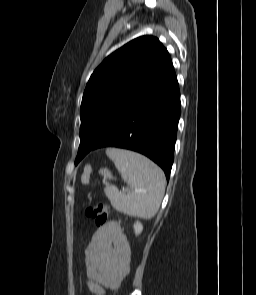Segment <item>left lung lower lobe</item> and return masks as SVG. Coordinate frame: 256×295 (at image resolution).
<instances>
[{"mask_svg": "<svg viewBox=\"0 0 256 295\" xmlns=\"http://www.w3.org/2000/svg\"><path fill=\"white\" fill-rule=\"evenodd\" d=\"M180 92L176 75L159 91L131 110L89 151L118 147L144 154L157 163L169 180L180 118Z\"/></svg>", "mask_w": 256, "mask_h": 295, "instance_id": "1", "label": "left lung lower lobe"}]
</instances>
